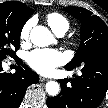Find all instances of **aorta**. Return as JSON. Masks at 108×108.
<instances>
[{
  "instance_id": "762f6f07",
  "label": "aorta",
  "mask_w": 108,
  "mask_h": 108,
  "mask_svg": "<svg viewBox=\"0 0 108 108\" xmlns=\"http://www.w3.org/2000/svg\"><path fill=\"white\" fill-rule=\"evenodd\" d=\"M31 42L38 47H45L53 41V35L47 27L42 25L35 26L30 32ZM46 91L51 96H56L60 91L58 82L49 81L46 83Z\"/></svg>"
}]
</instances>
